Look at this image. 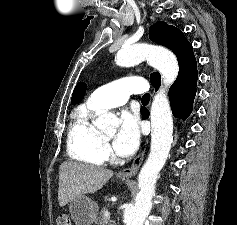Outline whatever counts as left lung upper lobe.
Instances as JSON below:
<instances>
[{
    "mask_svg": "<svg viewBox=\"0 0 237 225\" xmlns=\"http://www.w3.org/2000/svg\"><path fill=\"white\" fill-rule=\"evenodd\" d=\"M149 38L158 44L171 49L177 56L179 63V74H197V63L193 54L192 45L185 38L184 34L172 25L166 22H156L149 28ZM151 83L154 87L160 85V74L154 72L151 74Z\"/></svg>",
    "mask_w": 237,
    "mask_h": 225,
    "instance_id": "5c2ea615",
    "label": "left lung upper lobe"
}]
</instances>
